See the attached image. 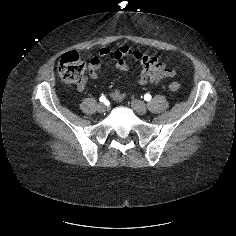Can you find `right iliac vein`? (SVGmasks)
I'll use <instances>...</instances> for the list:
<instances>
[{"instance_id": "obj_1", "label": "right iliac vein", "mask_w": 236, "mask_h": 236, "mask_svg": "<svg viewBox=\"0 0 236 236\" xmlns=\"http://www.w3.org/2000/svg\"><path fill=\"white\" fill-rule=\"evenodd\" d=\"M97 110H98V112H100V113H104V112H106V110H107V107H106V105L105 104H99L98 106H97Z\"/></svg>"}]
</instances>
